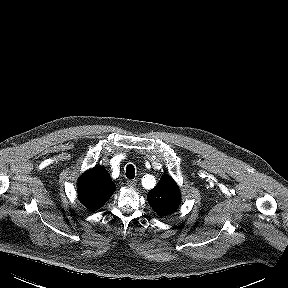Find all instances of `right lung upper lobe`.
I'll return each instance as SVG.
<instances>
[{
	"label": "right lung upper lobe",
	"mask_w": 288,
	"mask_h": 288,
	"mask_svg": "<svg viewBox=\"0 0 288 288\" xmlns=\"http://www.w3.org/2000/svg\"><path fill=\"white\" fill-rule=\"evenodd\" d=\"M109 173L103 167L92 168L79 179L78 198L89 210L102 207L115 191Z\"/></svg>",
	"instance_id": "cb5924a9"
}]
</instances>
